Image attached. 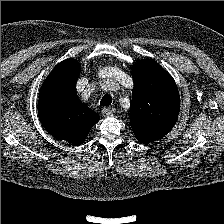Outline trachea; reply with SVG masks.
I'll list each match as a JSON object with an SVG mask.
<instances>
[{"label": "trachea", "mask_w": 224, "mask_h": 224, "mask_svg": "<svg viewBox=\"0 0 224 224\" xmlns=\"http://www.w3.org/2000/svg\"><path fill=\"white\" fill-rule=\"evenodd\" d=\"M112 103V98L109 95L103 96V98L100 101L101 106H108Z\"/></svg>", "instance_id": "1"}]
</instances>
